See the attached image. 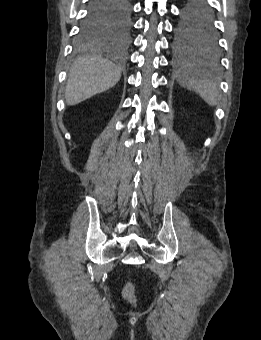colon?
Segmentation results:
<instances>
[{
	"mask_svg": "<svg viewBox=\"0 0 261 340\" xmlns=\"http://www.w3.org/2000/svg\"><path fill=\"white\" fill-rule=\"evenodd\" d=\"M123 297L126 301L131 304L136 302L135 293H134V285L132 282H127L123 288Z\"/></svg>",
	"mask_w": 261,
	"mask_h": 340,
	"instance_id": "obj_1",
	"label": "colon"
}]
</instances>
